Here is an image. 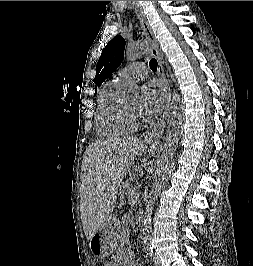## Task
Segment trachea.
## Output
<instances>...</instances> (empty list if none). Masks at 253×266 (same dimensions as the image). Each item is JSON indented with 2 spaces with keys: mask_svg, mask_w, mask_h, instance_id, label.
Wrapping results in <instances>:
<instances>
[{
  "mask_svg": "<svg viewBox=\"0 0 253 266\" xmlns=\"http://www.w3.org/2000/svg\"><path fill=\"white\" fill-rule=\"evenodd\" d=\"M157 61H156V59L155 58H152L151 60H150V62H149V66H150V68H151V70L152 71H157Z\"/></svg>",
  "mask_w": 253,
  "mask_h": 266,
  "instance_id": "3493384b",
  "label": "trachea"
}]
</instances>
